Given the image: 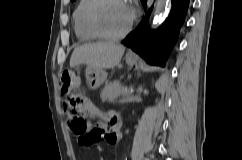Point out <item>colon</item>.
Listing matches in <instances>:
<instances>
[{"label": "colon", "instance_id": "5ec220e1", "mask_svg": "<svg viewBox=\"0 0 242 160\" xmlns=\"http://www.w3.org/2000/svg\"><path fill=\"white\" fill-rule=\"evenodd\" d=\"M61 94L68 99L66 112L72 119L74 132L79 135L80 143L94 145L100 137L101 130L91 129L86 118L92 114V108L84 99L79 81L69 70L60 75Z\"/></svg>", "mask_w": 242, "mask_h": 160}]
</instances>
